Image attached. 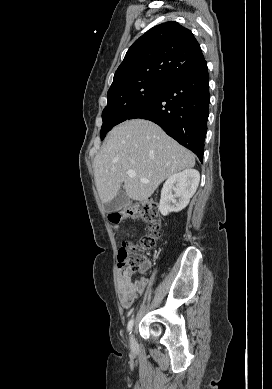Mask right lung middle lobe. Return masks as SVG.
<instances>
[{
  "mask_svg": "<svg viewBox=\"0 0 272 389\" xmlns=\"http://www.w3.org/2000/svg\"><path fill=\"white\" fill-rule=\"evenodd\" d=\"M165 84L143 80L109 90L107 106L102 112L101 140L115 125L127 120L136 109L159 93Z\"/></svg>",
  "mask_w": 272,
  "mask_h": 389,
  "instance_id": "1",
  "label": "right lung middle lobe"
}]
</instances>
